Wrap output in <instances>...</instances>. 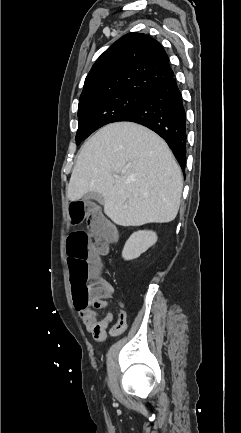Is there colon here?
Wrapping results in <instances>:
<instances>
[{"label":"colon","instance_id":"1","mask_svg":"<svg viewBox=\"0 0 241 433\" xmlns=\"http://www.w3.org/2000/svg\"><path fill=\"white\" fill-rule=\"evenodd\" d=\"M70 220L74 225L86 221L93 239L85 231H76L69 236L67 243L68 270L71 274V289L78 312H87L92 301L104 293L99 277V254L104 252L109 242L116 236L111 233V225L103 215L104 207L99 200L69 202Z\"/></svg>","mask_w":241,"mask_h":433}]
</instances>
